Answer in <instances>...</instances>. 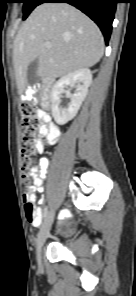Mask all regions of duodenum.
<instances>
[{
	"label": "duodenum",
	"instance_id": "410a0bca",
	"mask_svg": "<svg viewBox=\"0 0 136 296\" xmlns=\"http://www.w3.org/2000/svg\"><path fill=\"white\" fill-rule=\"evenodd\" d=\"M52 83H53V79L47 78L44 80L42 85L36 86L34 88V90H36V91L41 89V91H42V98H41L42 105L46 108L49 106V102H50V88L52 86Z\"/></svg>",
	"mask_w": 136,
	"mask_h": 296
}]
</instances>
